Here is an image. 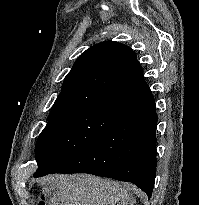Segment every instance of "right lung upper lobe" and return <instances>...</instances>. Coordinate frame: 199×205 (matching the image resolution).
Returning <instances> with one entry per match:
<instances>
[{"label":"right lung upper lobe","mask_w":199,"mask_h":205,"mask_svg":"<svg viewBox=\"0 0 199 205\" xmlns=\"http://www.w3.org/2000/svg\"><path fill=\"white\" fill-rule=\"evenodd\" d=\"M142 82L143 69L131 48L118 42H101L76 60L51 112L93 108L122 119L144 104L129 88Z\"/></svg>","instance_id":"1"}]
</instances>
